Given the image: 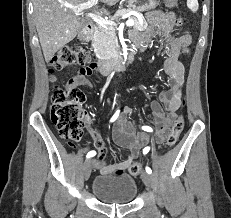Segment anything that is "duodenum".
Wrapping results in <instances>:
<instances>
[{
    "label": "duodenum",
    "mask_w": 231,
    "mask_h": 218,
    "mask_svg": "<svg viewBox=\"0 0 231 218\" xmlns=\"http://www.w3.org/2000/svg\"><path fill=\"white\" fill-rule=\"evenodd\" d=\"M95 32V25L88 23L84 30L79 35L81 40L89 39ZM130 63V56L121 50H117L111 54L103 55L101 60L97 63L99 66L96 69L103 75L108 74L120 65L127 66Z\"/></svg>",
    "instance_id": "obj_1"
}]
</instances>
